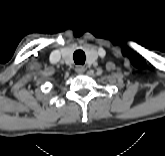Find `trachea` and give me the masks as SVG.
I'll use <instances>...</instances> for the list:
<instances>
[{
  "instance_id": "3493384b",
  "label": "trachea",
  "mask_w": 165,
  "mask_h": 156,
  "mask_svg": "<svg viewBox=\"0 0 165 156\" xmlns=\"http://www.w3.org/2000/svg\"><path fill=\"white\" fill-rule=\"evenodd\" d=\"M73 59L75 64H81L83 65L85 63V53L82 50H77L73 54Z\"/></svg>"
}]
</instances>
